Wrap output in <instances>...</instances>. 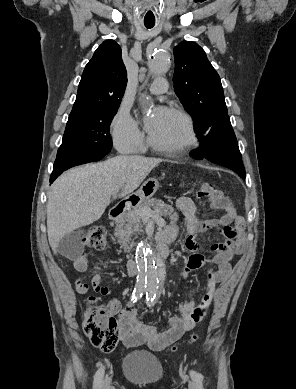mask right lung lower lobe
Instances as JSON below:
<instances>
[{
  "instance_id": "obj_1",
  "label": "right lung lower lobe",
  "mask_w": 296,
  "mask_h": 389,
  "mask_svg": "<svg viewBox=\"0 0 296 389\" xmlns=\"http://www.w3.org/2000/svg\"><path fill=\"white\" fill-rule=\"evenodd\" d=\"M65 169H54L51 177H50V182L53 183V181L63 172Z\"/></svg>"
}]
</instances>
